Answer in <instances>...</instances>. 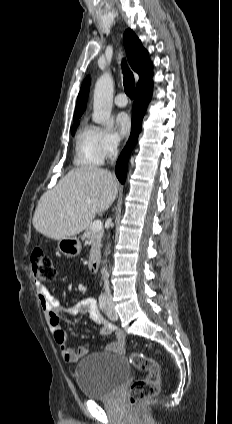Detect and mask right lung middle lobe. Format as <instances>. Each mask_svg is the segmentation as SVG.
Masks as SVG:
<instances>
[{
	"label": "right lung middle lobe",
	"mask_w": 232,
	"mask_h": 424,
	"mask_svg": "<svg viewBox=\"0 0 232 424\" xmlns=\"http://www.w3.org/2000/svg\"><path fill=\"white\" fill-rule=\"evenodd\" d=\"M76 120H78V117L74 118V121H76ZM78 124H79V122H75V124L73 125L72 130H71V133L72 134H73V131H74L75 127H77Z\"/></svg>",
	"instance_id": "dd1d6c3e"
}]
</instances>
